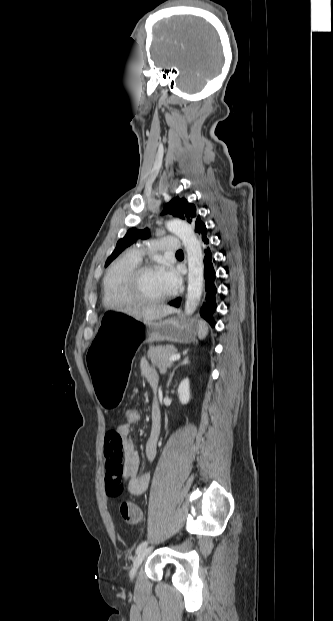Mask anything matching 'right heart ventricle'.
<instances>
[{
  "label": "right heart ventricle",
  "instance_id": "1",
  "mask_svg": "<svg viewBox=\"0 0 333 621\" xmlns=\"http://www.w3.org/2000/svg\"><path fill=\"white\" fill-rule=\"evenodd\" d=\"M138 265L131 255L116 260L108 269L102 283V300L106 307L130 305L122 293V282L125 276Z\"/></svg>",
  "mask_w": 333,
  "mask_h": 621
}]
</instances>
